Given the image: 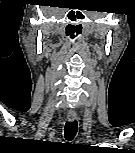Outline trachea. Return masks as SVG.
Listing matches in <instances>:
<instances>
[{"label":"trachea","instance_id":"1","mask_svg":"<svg viewBox=\"0 0 135 153\" xmlns=\"http://www.w3.org/2000/svg\"><path fill=\"white\" fill-rule=\"evenodd\" d=\"M78 123L76 120L69 121L64 127V136L67 140H73L77 133Z\"/></svg>","mask_w":135,"mask_h":153}]
</instances>
